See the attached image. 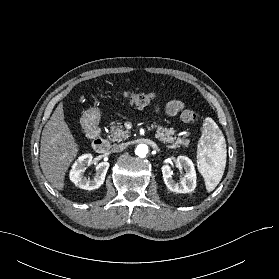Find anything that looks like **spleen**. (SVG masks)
<instances>
[{
  "label": "spleen",
  "instance_id": "3e777b00",
  "mask_svg": "<svg viewBox=\"0 0 279 279\" xmlns=\"http://www.w3.org/2000/svg\"><path fill=\"white\" fill-rule=\"evenodd\" d=\"M226 157V142L222 131L212 118H205L198 145L197 167L204 177L208 192L213 191L221 181Z\"/></svg>",
  "mask_w": 279,
  "mask_h": 279
}]
</instances>
